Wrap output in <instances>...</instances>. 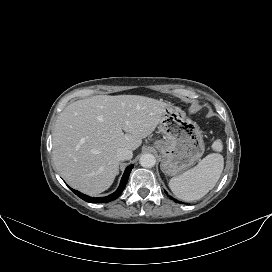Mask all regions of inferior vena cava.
<instances>
[{
	"label": "inferior vena cava",
	"instance_id": "1",
	"mask_svg": "<svg viewBox=\"0 0 272 272\" xmlns=\"http://www.w3.org/2000/svg\"><path fill=\"white\" fill-rule=\"evenodd\" d=\"M132 156V150L126 147L118 148L116 151V157L119 161L130 160Z\"/></svg>",
	"mask_w": 272,
	"mask_h": 272
}]
</instances>
